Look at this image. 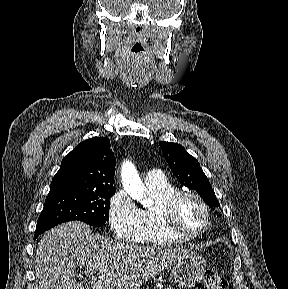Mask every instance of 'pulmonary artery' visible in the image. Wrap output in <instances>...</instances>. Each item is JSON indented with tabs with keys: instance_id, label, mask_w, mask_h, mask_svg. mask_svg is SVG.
<instances>
[{
	"instance_id": "pulmonary-artery-1",
	"label": "pulmonary artery",
	"mask_w": 288,
	"mask_h": 289,
	"mask_svg": "<svg viewBox=\"0 0 288 289\" xmlns=\"http://www.w3.org/2000/svg\"><path fill=\"white\" fill-rule=\"evenodd\" d=\"M144 182L147 186L162 185L166 182V178L161 170L153 169L147 172Z\"/></svg>"
}]
</instances>
